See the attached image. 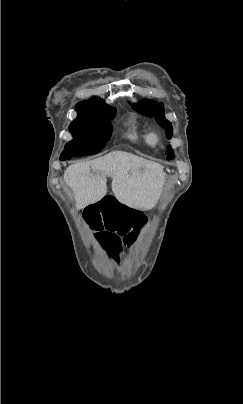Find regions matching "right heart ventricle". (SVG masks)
<instances>
[{
	"mask_svg": "<svg viewBox=\"0 0 243 404\" xmlns=\"http://www.w3.org/2000/svg\"><path fill=\"white\" fill-rule=\"evenodd\" d=\"M124 138L128 143L140 147L153 148L158 144V139H155L154 133L141 126L134 119L129 121Z\"/></svg>",
	"mask_w": 243,
	"mask_h": 404,
	"instance_id": "1",
	"label": "right heart ventricle"
}]
</instances>
